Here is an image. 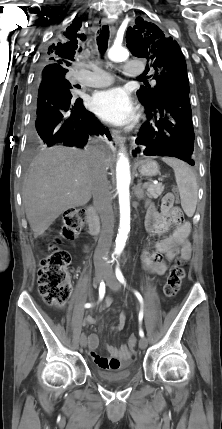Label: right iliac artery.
<instances>
[{
  "label": "right iliac artery",
  "mask_w": 222,
  "mask_h": 429,
  "mask_svg": "<svg viewBox=\"0 0 222 429\" xmlns=\"http://www.w3.org/2000/svg\"><path fill=\"white\" fill-rule=\"evenodd\" d=\"M104 294H105V284H104V282H101L100 286H99L100 300L104 297ZM91 306H92V304H90V303L85 304V308H90Z\"/></svg>",
  "instance_id": "obj_1"
}]
</instances>
